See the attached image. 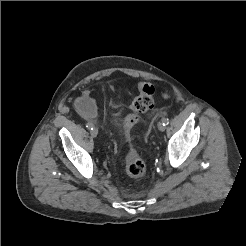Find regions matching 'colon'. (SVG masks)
Wrapping results in <instances>:
<instances>
[{
  "mask_svg": "<svg viewBox=\"0 0 246 246\" xmlns=\"http://www.w3.org/2000/svg\"><path fill=\"white\" fill-rule=\"evenodd\" d=\"M139 95L134 99L130 106V113L126 117V124L130 127L134 126L139 115L150 110L153 107L154 87L146 82L138 84ZM164 98H168L167 94H163ZM125 168L127 174L131 178H141L146 172V165L135 149L130 148L126 154Z\"/></svg>",
  "mask_w": 246,
  "mask_h": 246,
  "instance_id": "obj_1",
  "label": "colon"
}]
</instances>
